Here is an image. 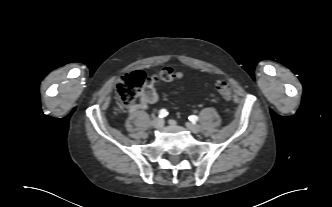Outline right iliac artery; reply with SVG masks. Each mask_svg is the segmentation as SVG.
<instances>
[{
  "label": "right iliac artery",
  "instance_id": "1",
  "mask_svg": "<svg viewBox=\"0 0 332 207\" xmlns=\"http://www.w3.org/2000/svg\"><path fill=\"white\" fill-rule=\"evenodd\" d=\"M167 114H168V112H167V110H165V109H161V110L159 111V117H160V118L165 117Z\"/></svg>",
  "mask_w": 332,
  "mask_h": 207
}]
</instances>
